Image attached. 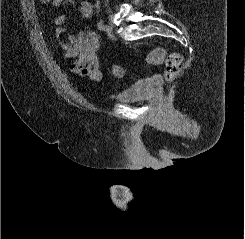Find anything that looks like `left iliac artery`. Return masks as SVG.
Listing matches in <instances>:
<instances>
[{
  "instance_id": "44dca946",
  "label": "left iliac artery",
  "mask_w": 245,
  "mask_h": 239,
  "mask_svg": "<svg viewBox=\"0 0 245 239\" xmlns=\"http://www.w3.org/2000/svg\"><path fill=\"white\" fill-rule=\"evenodd\" d=\"M98 30L103 31L104 30V21L100 19L97 23Z\"/></svg>"
}]
</instances>
